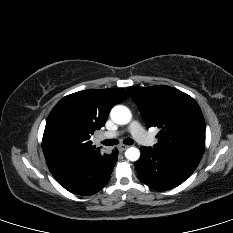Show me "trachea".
Masks as SVG:
<instances>
[{
    "instance_id": "trachea-1",
    "label": "trachea",
    "mask_w": 233,
    "mask_h": 233,
    "mask_svg": "<svg viewBox=\"0 0 233 233\" xmlns=\"http://www.w3.org/2000/svg\"><path fill=\"white\" fill-rule=\"evenodd\" d=\"M101 143L105 146H113V145H116L118 141L116 139H107V140L102 141ZM133 143L134 141L131 138H126L124 140V144L132 145Z\"/></svg>"
}]
</instances>
